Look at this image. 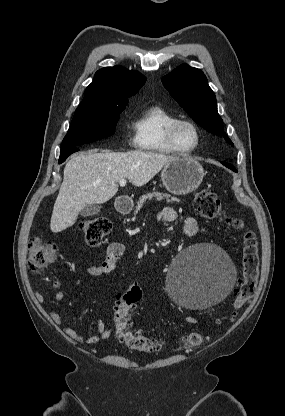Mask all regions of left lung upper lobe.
<instances>
[{"label": "left lung upper lobe", "instance_id": "1", "mask_svg": "<svg viewBox=\"0 0 285 416\" xmlns=\"http://www.w3.org/2000/svg\"><path fill=\"white\" fill-rule=\"evenodd\" d=\"M162 83L195 122L208 132L223 136L233 146L224 132L223 121L217 112L215 94L201 70L181 65L164 76Z\"/></svg>", "mask_w": 285, "mask_h": 416}]
</instances>
